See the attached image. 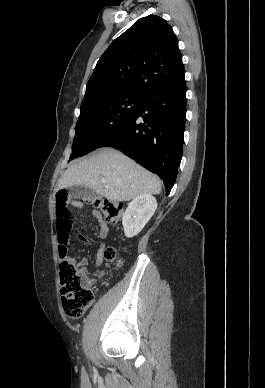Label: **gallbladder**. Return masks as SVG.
<instances>
[{"label":"gallbladder","instance_id":"obj_1","mask_svg":"<svg viewBox=\"0 0 265 388\" xmlns=\"http://www.w3.org/2000/svg\"><path fill=\"white\" fill-rule=\"evenodd\" d=\"M67 190H69L72 198H84V200L96 198L95 192H93L92 188H87V186H69Z\"/></svg>","mask_w":265,"mask_h":388}]
</instances>
